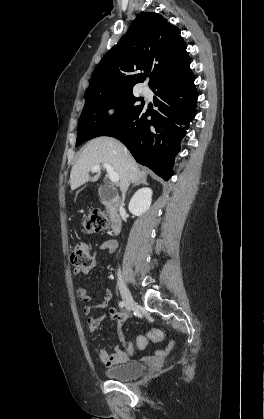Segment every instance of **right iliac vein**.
Masks as SVG:
<instances>
[{
    "mask_svg": "<svg viewBox=\"0 0 264 419\" xmlns=\"http://www.w3.org/2000/svg\"><path fill=\"white\" fill-rule=\"evenodd\" d=\"M118 285H119V290H120V293H121V296L125 303L126 308L129 311L133 310L136 307V303L133 300L129 289L127 288V286L125 285L123 281H120Z\"/></svg>",
    "mask_w": 264,
    "mask_h": 419,
    "instance_id": "obj_1",
    "label": "right iliac vein"
}]
</instances>
